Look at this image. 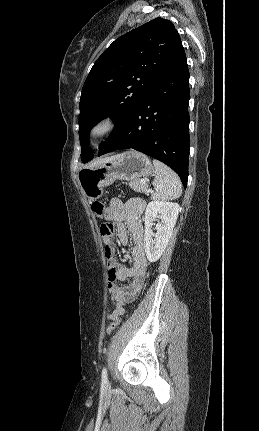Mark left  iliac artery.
I'll list each match as a JSON object with an SVG mask.
<instances>
[{
	"instance_id": "1",
	"label": "left iliac artery",
	"mask_w": 259,
	"mask_h": 431,
	"mask_svg": "<svg viewBox=\"0 0 259 431\" xmlns=\"http://www.w3.org/2000/svg\"><path fill=\"white\" fill-rule=\"evenodd\" d=\"M101 377H102V382L107 383V369H106V367L103 368Z\"/></svg>"
}]
</instances>
